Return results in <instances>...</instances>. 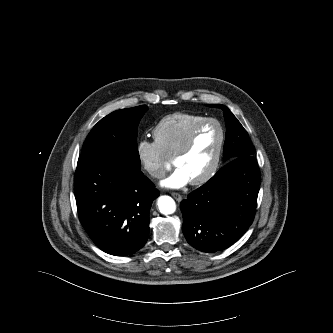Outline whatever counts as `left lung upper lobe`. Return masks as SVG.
Segmentation results:
<instances>
[{"instance_id": "left-lung-upper-lobe-1", "label": "left lung upper lobe", "mask_w": 333, "mask_h": 333, "mask_svg": "<svg viewBox=\"0 0 333 333\" xmlns=\"http://www.w3.org/2000/svg\"><path fill=\"white\" fill-rule=\"evenodd\" d=\"M208 106L221 108L223 110L227 128L224 144V160L228 162L242 156H253L255 148L253 147L246 130L233 113L224 105Z\"/></svg>"}]
</instances>
